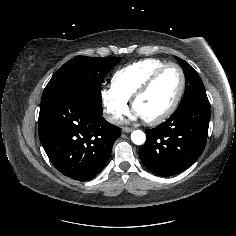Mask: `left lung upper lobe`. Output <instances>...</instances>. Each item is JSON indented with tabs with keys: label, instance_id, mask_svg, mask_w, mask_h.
Wrapping results in <instances>:
<instances>
[{
	"label": "left lung upper lobe",
	"instance_id": "5c2ea615",
	"mask_svg": "<svg viewBox=\"0 0 236 236\" xmlns=\"http://www.w3.org/2000/svg\"><path fill=\"white\" fill-rule=\"evenodd\" d=\"M175 58L182 66L186 80L184 96L182 98L179 107L185 105L186 103L194 99L207 97L204 84L198 73L181 58L179 57Z\"/></svg>",
	"mask_w": 236,
	"mask_h": 236
}]
</instances>
